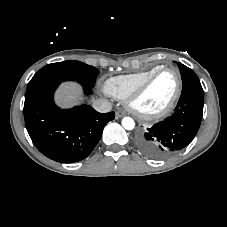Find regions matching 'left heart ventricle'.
<instances>
[{
  "mask_svg": "<svg viewBox=\"0 0 227 227\" xmlns=\"http://www.w3.org/2000/svg\"><path fill=\"white\" fill-rule=\"evenodd\" d=\"M177 87V76L173 71L161 73L137 101L136 106L145 112L164 108L172 99Z\"/></svg>",
  "mask_w": 227,
  "mask_h": 227,
  "instance_id": "left-heart-ventricle-1",
  "label": "left heart ventricle"
}]
</instances>
